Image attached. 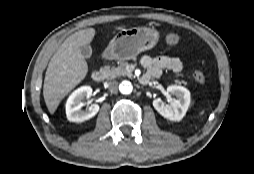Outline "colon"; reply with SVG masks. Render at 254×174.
I'll use <instances>...</instances> for the list:
<instances>
[{
  "label": "colon",
  "instance_id": "5ec220e1",
  "mask_svg": "<svg viewBox=\"0 0 254 174\" xmlns=\"http://www.w3.org/2000/svg\"><path fill=\"white\" fill-rule=\"evenodd\" d=\"M180 40H181V36L176 31H168L165 33V41L169 45H176L180 42ZM193 76L195 80L200 84H203L206 82V76L199 68L194 69Z\"/></svg>",
  "mask_w": 254,
  "mask_h": 174
}]
</instances>
